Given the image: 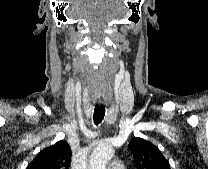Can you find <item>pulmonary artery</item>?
I'll use <instances>...</instances> for the list:
<instances>
[{"mask_svg": "<svg viewBox=\"0 0 208 169\" xmlns=\"http://www.w3.org/2000/svg\"><path fill=\"white\" fill-rule=\"evenodd\" d=\"M108 169H125L123 162L114 160L108 165Z\"/></svg>", "mask_w": 208, "mask_h": 169, "instance_id": "obj_1", "label": "pulmonary artery"}]
</instances>
